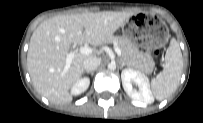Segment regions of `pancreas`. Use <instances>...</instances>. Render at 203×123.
Masks as SVG:
<instances>
[{
	"label": "pancreas",
	"instance_id": "obj_1",
	"mask_svg": "<svg viewBox=\"0 0 203 123\" xmlns=\"http://www.w3.org/2000/svg\"><path fill=\"white\" fill-rule=\"evenodd\" d=\"M121 49V58L127 63L128 66L134 67L144 73L150 74L154 69V61L137 52V48L129 40L123 37H112L110 39Z\"/></svg>",
	"mask_w": 203,
	"mask_h": 123
}]
</instances>
